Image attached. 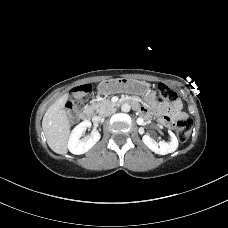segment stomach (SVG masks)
I'll use <instances>...</instances> for the list:
<instances>
[{
  "label": "stomach",
  "mask_w": 228,
  "mask_h": 228,
  "mask_svg": "<svg viewBox=\"0 0 228 228\" xmlns=\"http://www.w3.org/2000/svg\"><path fill=\"white\" fill-rule=\"evenodd\" d=\"M97 90L101 95H110L115 93L146 95L150 91V84L146 81L129 78L108 79L100 82Z\"/></svg>",
  "instance_id": "0dacf381"
}]
</instances>
